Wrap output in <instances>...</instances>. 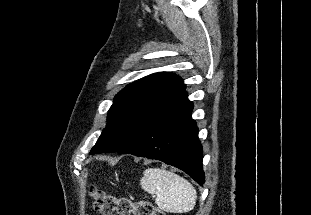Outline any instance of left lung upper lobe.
I'll return each instance as SVG.
<instances>
[{"mask_svg": "<svg viewBox=\"0 0 311 215\" xmlns=\"http://www.w3.org/2000/svg\"><path fill=\"white\" fill-rule=\"evenodd\" d=\"M185 88L183 80L170 72L150 74L129 84L115 96L106 128L89 154L120 151Z\"/></svg>", "mask_w": 311, "mask_h": 215, "instance_id": "left-lung-upper-lobe-1", "label": "left lung upper lobe"}]
</instances>
